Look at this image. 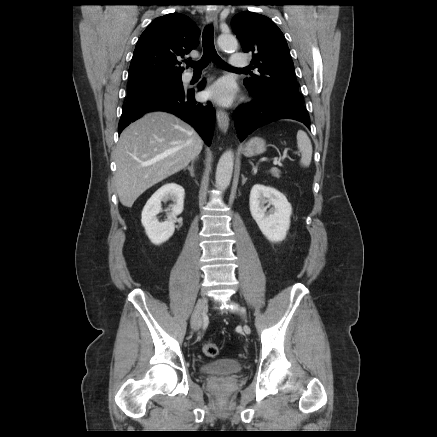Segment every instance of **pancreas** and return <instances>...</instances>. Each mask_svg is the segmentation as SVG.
<instances>
[{
	"mask_svg": "<svg viewBox=\"0 0 437 437\" xmlns=\"http://www.w3.org/2000/svg\"><path fill=\"white\" fill-rule=\"evenodd\" d=\"M271 173L276 178L280 177V171L278 169H276V168L271 169Z\"/></svg>",
	"mask_w": 437,
	"mask_h": 437,
	"instance_id": "1",
	"label": "pancreas"
}]
</instances>
